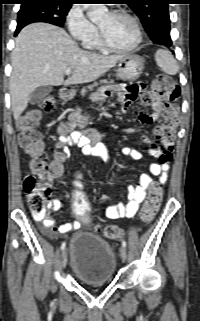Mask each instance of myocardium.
<instances>
[{"label":"myocardium","instance_id":"f54148a6","mask_svg":"<svg viewBox=\"0 0 200 321\" xmlns=\"http://www.w3.org/2000/svg\"><path fill=\"white\" fill-rule=\"evenodd\" d=\"M109 14L113 17H126V18L130 19L133 22L135 29H136V40L129 47L117 48V47L113 46L108 41V39L106 38V36L103 33V31L101 30V28L98 26L97 36H98V41H99L100 46L103 49H105L106 51H109L112 53L123 54V53H130V52L134 51L141 44V42L143 40L142 27H141V24H140L139 20L137 19V17L126 10H114V11H111Z\"/></svg>","mask_w":200,"mask_h":321}]
</instances>
